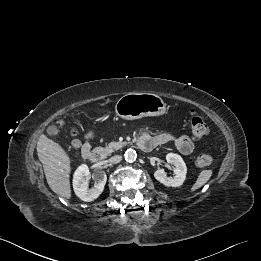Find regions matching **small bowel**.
Instances as JSON below:
<instances>
[{"instance_id": "small-bowel-1", "label": "small bowel", "mask_w": 261, "mask_h": 261, "mask_svg": "<svg viewBox=\"0 0 261 261\" xmlns=\"http://www.w3.org/2000/svg\"><path fill=\"white\" fill-rule=\"evenodd\" d=\"M91 139H92V132H88L83 142L77 141L75 143V148L81 150L82 152L85 150H90L91 148ZM140 140L145 141L147 143H151L153 147L163 145L168 142H173L177 151L182 155H189L195 149L194 141L189 138L188 136H179L175 137L170 133H161L155 136L150 135L147 132H143L140 136Z\"/></svg>"}]
</instances>
